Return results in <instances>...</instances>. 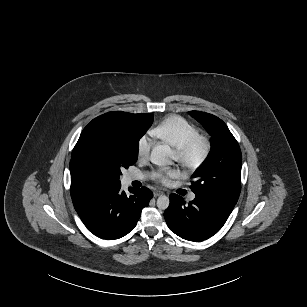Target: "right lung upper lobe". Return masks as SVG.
<instances>
[{
  "instance_id": "obj_1",
  "label": "right lung upper lobe",
  "mask_w": 307,
  "mask_h": 307,
  "mask_svg": "<svg viewBox=\"0 0 307 307\" xmlns=\"http://www.w3.org/2000/svg\"><path fill=\"white\" fill-rule=\"evenodd\" d=\"M111 114H115L119 116L120 121L118 125L125 124L128 127L135 129V133L141 138L147 129L151 126L153 122L152 114H131L121 111L109 112ZM70 173H71V197L72 200L76 199L78 196L84 195L90 190L102 186L104 184H100L90 178L84 169L76 163L74 159L71 158L70 162Z\"/></svg>"
}]
</instances>
